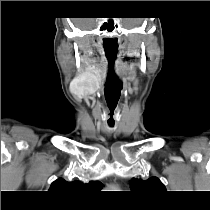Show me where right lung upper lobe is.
I'll list each match as a JSON object with an SVG mask.
<instances>
[{"mask_svg": "<svg viewBox=\"0 0 210 210\" xmlns=\"http://www.w3.org/2000/svg\"><path fill=\"white\" fill-rule=\"evenodd\" d=\"M84 187L101 189L102 184L99 181H90L88 184H83L80 181L67 182L64 179L59 178L51 184L49 191L59 194H65L70 191L78 190Z\"/></svg>", "mask_w": 210, "mask_h": 210, "instance_id": "cb5924a9", "label": "right lung upper lobe"}]
</instances>
